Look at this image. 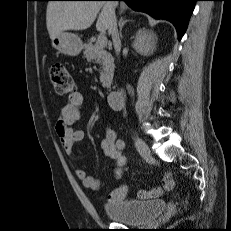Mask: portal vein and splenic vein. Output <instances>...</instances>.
<instances>
[{"label": "portal vein and splenic vein", "mask_w": 231, "mask_h": 231, "mask_svg": "<svg viewBox=\"0 0 231 231\" xmlns=\"http://www.w3.org/2000/svg\"><path fill=\"white\" fill-rule=\"evenodd\" d=\"M97 45L102 48H104L107 45V38L104 35V33H100V35L98 36Z\"/></svg>", "instance_id": "obj_1"}]
</instances>
